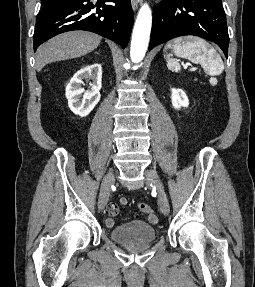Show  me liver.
<instances>
[{
	"mask_svg": "<svg viewBox=\"0 0 255 287\" xmlns=\"http://www.w3.org/2000/svg\"><path fill=\"white\" fill-rule=\"evenodd\" d=\"M102 38L91 32H66L59 34L46 44L40 46L36 52V70L41 72L46 64L70 60V58H81L90 54L99 46Z\"/></svg>",
	"mask_w": 255,
	"mask_h": 287,
	"instance_id": "6515ba94",
	"label": "liver"
}]
</instances>
